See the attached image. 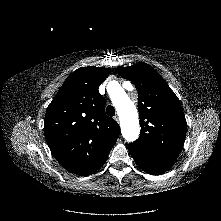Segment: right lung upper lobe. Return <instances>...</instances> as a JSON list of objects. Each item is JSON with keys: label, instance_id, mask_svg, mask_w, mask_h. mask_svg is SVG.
<instances>
[{"label": "right lung upper lobe", "instance_id": "right-lung-upper-lobe-1", "mask_svg": "<svg viewBox=\"0 0 221 221\" xmlns=\"http://www.w3.org/2000/svg\"><path fill=\"white\" fill-rule=\"evenodd\" d=\"M110 68L75 70L49 104L44 121L47 144L58 162L77 173L109 154L120 134L117 122L105 115L106 100L98 87Z\"/></svg>", "mask_w": 221, "mask_h": 221}]
</instances>
